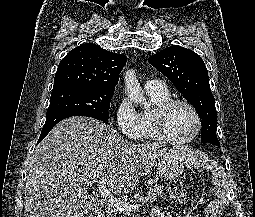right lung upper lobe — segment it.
Wrapping results in <instances>:
<instances>
[{"label": "right lung upper lobe", "mask_w": 255, "mask_h": 217, "mask_svg": "<svg viewBox=\"0 0 255 217\" xmlns=\"http://www.w3.org/2000/svg\"><path fill=\"white\" fill-rule=\"evenodd\" d=\"M127 61L122 54L85 43L71 50L59 63L53 88L66 85L114 90Z\"/></svg>", "instance_id": "cb5924a9"}]
</instances>
